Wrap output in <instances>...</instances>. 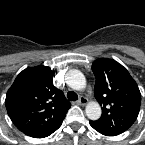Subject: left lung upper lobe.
Masks as SVG:
<instances>
[{
  "mask_svg": "<svg viewBox=\"0 0 145 145\" xmlns=\"http://www.w3.org/2000/svg\"><path fill=\"white\" fill-rule=\"evenodd\" d=\"M96 77L94 95L102 106V116L90 125L98 132L115 136L128 130L138 117L141 94L126 68L112 59L93 62Z\"/></svg>",
  "mask_w": 145,
  "mask_h": 145,
  "instance_id": "left-lung-upper-lobe-1",
  "label": "left lung upper lobe"
}]
</instances>
